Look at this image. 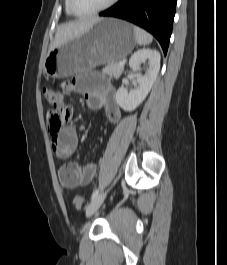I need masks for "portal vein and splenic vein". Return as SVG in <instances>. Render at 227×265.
Wrapping results in <instances>:
<instances>
[{
    "label": "portal vein and splenic vein",
    "instance_id": "1",
    "mask_svg": "<svg viewBox=\"0 0 227 265\" xmlns=\"http://www.w3.org/2000/svg\"><path fill=\"white\" fill-rule=\"evenodd\" d=\"M124 64H125V62H124V61H121V62H119V66H121V67H123V66H124Z\"/></svg>",
    "mask_w": 227,
    "mask_h": 265
}]
</instances>
